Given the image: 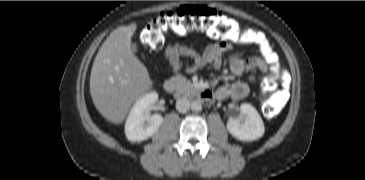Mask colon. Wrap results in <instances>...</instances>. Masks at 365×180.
Segmentation results:
<instances>
[{
    "label": "colon",
    "instance_id": "5ec220e1",
    "mask_svg": "<svg viewBox=\"0 0 365 180\" xmlns=\"http://www.w3.org/2000/svg\"><path fill=\"white\" fill-rule=\"evenodd\" d=\"M203 30L211 38L233 45L251 43L249 33L234 27L229 19L217 10L205 6H182L175 11L162 12L153 18L140 34L141 41L150 48L163 46L169 35H185L192 30ZM271 54L269 53L268 56ZM285 72L276 65L274 71L262 83V92L268 96V114H278L283 101L280 95Z\"/></svg>",
    "mask_w": 365,
    "mask_h": 180
}]
</instances>
